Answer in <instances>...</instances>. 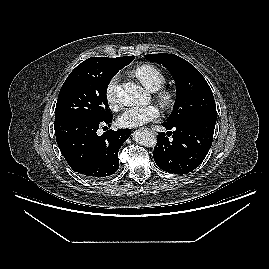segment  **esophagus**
I'll return each instance as SVG.
<instances>
[{
  "label": "esophagus",
  "mask_w": 269,
  "mask_h": 269,
  "mask_svg": "<svg viewBox=\"0 0 269 269\" xmlns=\"http://www.w3.org/2000/svg\"><path fill=\"white\" fill-rule=\"evenodd\" d=\"M149 131H151V132H153V133H154V131H153V130H151V129H149Z\"/></svg>",
  "instance_id": "34e87169"
}]
</instances>
